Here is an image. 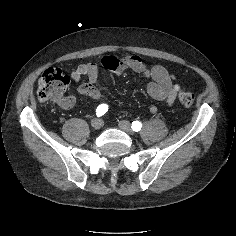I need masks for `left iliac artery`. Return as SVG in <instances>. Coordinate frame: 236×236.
I'll return each mask as SVG.
<instances>
[{
  "label": "left iliac artery",
  "mask_w": 236,
  "mask_h": 236,
  "mask_svg": "<svg viewBox=\"0 0 236 236\" xmlns=\"http://www.w3.org/2000/svg\"><path fill=\"white\" fill-rule=\"evenodd\" d=\"M141 127H142V124L139 121H134L131 125L132 130L136 132L140 131Z\"/></svg>",
  "instance_id": "obj_1"
}]
</instances>
